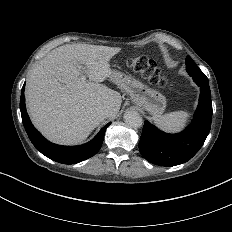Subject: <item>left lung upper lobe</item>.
<instances>
[{
	"mask_svg": "<svg viewBox=\"0 0 232 232\" xmlns=\"http://www.w3.org/2000/svg\"><path fill=\"white\" fill-rule=\"evenodd\" d=\"M186 70L190 76H192L193 80L197 84H206L208 85V78L205 74L200 70V68L195 64L190 56L186 57Z\"/></svg>",
	"mask_w": 232,
	"mask_h": 232,
	"instance_id": "obj_1",
	"label": "left lung upper lobe"
}]
</instances>
